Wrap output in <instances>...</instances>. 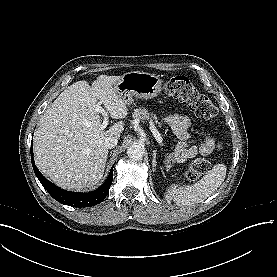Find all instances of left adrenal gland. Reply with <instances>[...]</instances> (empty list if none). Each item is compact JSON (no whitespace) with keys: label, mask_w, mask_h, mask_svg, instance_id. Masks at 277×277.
<instances>
[{"label":"left adrenal gland","mask_w":277,"mask_h":277,"mask_svg":"<svg viewBox=\"0 0 277 277\" xmlns=\"http://www.w3.org/2000/svg\"><path fill=\"white\" fill-rule=\"evenodd\" d=\"M153 169L156 166V150H153V161H152Z\"/></svg>","instance_id":"a2214340"}]
</instances>
